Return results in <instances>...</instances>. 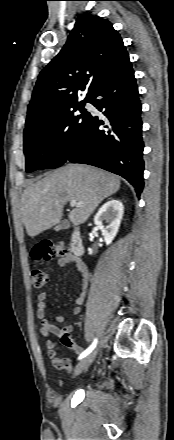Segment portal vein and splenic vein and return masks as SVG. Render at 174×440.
<instances>
[{"mask_svg":"<svg viewBox=\"0 0 174 440\" xmlns=\"http://www.w3.org/2000/svg\"><path fill=\"white\" fill-rule=\"evenodd\" d=\"M70 205L72 206V207H74V206H81L82 205V203H80V202H77L76 200H71L70 201Z\"/></svg>","mask_w":174,"mask_h":440,"instance_id":"obj_1","label":"portal vein and splenic vein"}]
</instances>
